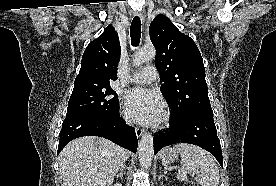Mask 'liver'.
Here are the masks:
<instances>
[{
  "label": "liver",
  "instance_id": "6515ba94",
  "mask_svg": "<svg viewBox=\"0 0 276 186\" xmlns=\"http://www.w3.org/2000/svg\"><path fill=\"white\" fill-rule=\"evenodd\" d=\"M127 157L128 152L107 139H74L59 155L63 186H111Z\"/></svg>",
  "mask_w": 276,
  "mask_h": 186
}]
</instances>
